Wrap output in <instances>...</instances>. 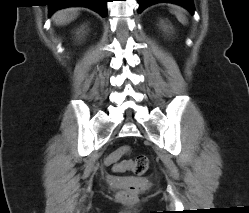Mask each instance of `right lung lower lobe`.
I'll return each mask as SVG.
<instances>
[{
	"label": "right lung lower lobe",
	"instance_id": "98d812e1",
	"mask_svg": "<svg viewBox=\"0 0 249 213\" xmlns=\"http://www.w3.org/2000/svg\"><path fill=\"white\" fill-rule=\"evenodd\" d=\"M108 0H52V3L49 5V14H52L54 11L70 6H85L91 8L98 12L102 17H106L107 8L106 2Z\"/></svg>",
	"mask_w": 249,
	"mask_h": 213
}]
</instances>
